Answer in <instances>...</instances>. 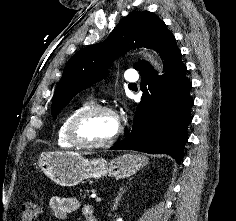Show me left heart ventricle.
<instances>
[{
	"instance_id": "left-heart-ventricle-1",
	"label": "left heart ventricle",
	"mask_w": 236,
	"mask_h": 221,
	"mask_svg": "<svg viewBox=\"0 0 236 221\" xmlns=\"http://www.w3.org/2000/svg\"><path fill=\"white\" fill-rule=\"evenodd\" d=\"M118 120L108 113H96L83 121L79 128L80 137L88 142H102L114 136Z\"/></svg>"
}]
</instances>
